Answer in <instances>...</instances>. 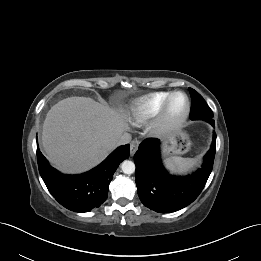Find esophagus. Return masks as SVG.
I'll return each mask as SVG.
<instances>
[{
	"instance_id": "obj_1",
	"label": "esophagus",
	"mask_w": 261,
	"mask_h": 261,
	"mask_svg": "<svg viewBox=\"0 0 261 261\" xmlns=\"http://www.w3.org/2000/svg\"><path fill=\"white\" fill-rule=\"evenodd\" d=\"M138 145H139L138 141L134 140V141L131 142V144H130V153H131V155L135 154V152L138 149Z\"/></svg>"
}]
</instances>
